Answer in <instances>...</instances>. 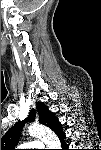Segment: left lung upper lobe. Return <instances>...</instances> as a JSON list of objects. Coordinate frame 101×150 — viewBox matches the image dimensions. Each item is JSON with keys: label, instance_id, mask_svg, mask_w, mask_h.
<instances>
[{"label": "left lung upper lobe", "instance_id": "obj_1", "mask_svg": "<svg viewBox=\"0 0 101 150\" xmlns=\"http://www.w3.org/2000/svg\"><path fill=\"white\" fill-rule=\"evenodd\" d=\"M36 109L38 112L39 122L49 127L58 136L59 132L62 131V128L61 124L58 120H56L53 113L49 111L48 107L42 102H38L36 104ZM35 115V110L31 111L28 115L27 121H34ZM23 124L24 121H19L15 126L9 129L1 138V147L3 150H13L20 138V131Z\"/></svg>", "mask_w": 101, "mask_h": 150}]
</instances>
